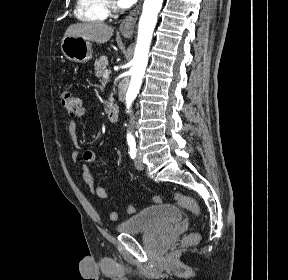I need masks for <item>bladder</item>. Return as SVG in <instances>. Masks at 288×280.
I'll list each match as a JSON object with an SVG mask.
<instances>
[{
	"mask_svg": "<svg viewBox=\"0 0 288 280\" xmlns=\"http://www.w3.org/2000/svg\"><path fill=\"white\" fill-rule=\"evenodd\" d=\"M181 210L171 204L149 206L117 226L122 234L152 232L167 229L182 219Z\"/></svg>",
	"mask_w": 288,
	"mask_h": 280,
	"instance_id": "obj_1",
	"label": "bladder"
}]
</instances>
